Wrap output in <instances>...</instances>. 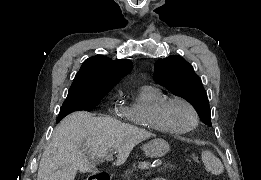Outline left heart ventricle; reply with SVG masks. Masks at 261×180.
<instances>
[{"label": "left heart ventricle", "instance_id": "b2bd125f", "mask_svg": "<svg viewBox=\"0 0 261 180\" xmlns=\"http://www.w3.org/2000/svg\"><path fill=\"white\" fill-rule=\"evenodd\" d=\"M164 118L176 127L188 126L191 122L189 110L181 105L170 106L163 112Z\"/></svg>", "mask_w": 261, "mask_h": 180}]
</instances>
